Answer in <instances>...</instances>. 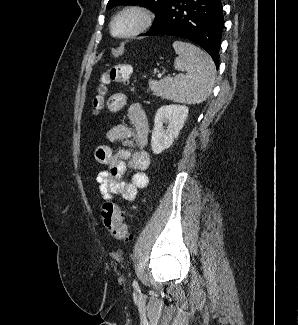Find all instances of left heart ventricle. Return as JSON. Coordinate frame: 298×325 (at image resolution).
I'll return each mask as SVG.
<instances>
[{"label":"left heart ventricle","instance_id":"obj_1","mask_svg":"<svg viewBox=\"0 0 298 325\" xmlns=\"http://www.w3.org/2000/svg\"><path fill=\"white\" fill-rule=\"evenodd\" d=\"M132 26H133V24H132L131 20H125L119 24L117 31L119 33H126L132 29Z\"/></svg>","mask_w":298,"mask_h":325}]
</instances>
